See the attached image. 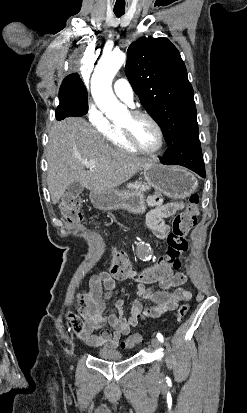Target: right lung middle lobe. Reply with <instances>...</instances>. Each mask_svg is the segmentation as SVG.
Listing matches in <instances>:
<instances>
[{"mask_svg":"<svg viewBox=\"0 0 247 413\" xmlns=\"http://www.w3.org/2000/svg\"><path fill=\"white\" fill-rule=\"evenodd\" d=\"M87 90L82 80L63 81L59 90L60 102L68 103L79 111L80 116L88 111Z\"/></svg>","mask_w":247,"mask_h":413,"instance_id":"obj_1","label":"right lung middle lobe"}]
</instances>
